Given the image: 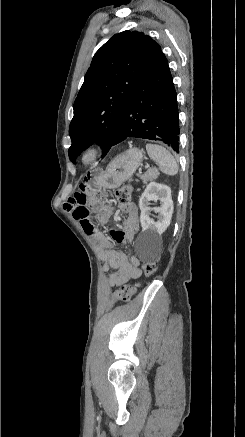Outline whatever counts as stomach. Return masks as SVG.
I'll use <instances>...</instances> for the list:
<instances>
[{"mask_svg": "<svg viewBox=\"0 0 245 437\" xmlns=\"http://www.w3.org/2000/svg\"><path fill=\"white\" fill-rule=\"evenodd\" d=\"M143 160V151L139 148H130L117 156L105 172L98 170L86 176V183L93 189H115L130 179Z\"/></svg>", "mask_w": 245, "mask_h": 437, "instance_id": "1", "label": "stomach"}]
</instances>
